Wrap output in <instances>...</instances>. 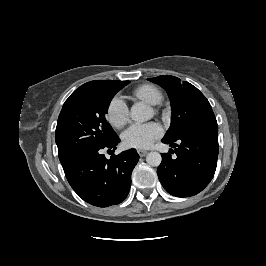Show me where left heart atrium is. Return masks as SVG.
I'll use <instances>...</instances> for the list:
<instances>
[{
    "label": "left heart atrium",
    "instance_id": "left-heart-atrium-1",
    "mask_svg": "<svg viewBox=\"0 0 266 266\" xmlns=\"http://www.w3.org/2000/svg\"><path fill=\"white\" fill-rule=\"evenodd\" d=\"M162 134V127L157 122L133 124L123 133L122 141L125 147L146 149Z\"/></svg>",
    "mask_w": 266,
    "mask_h": 266
}]
</instances>
